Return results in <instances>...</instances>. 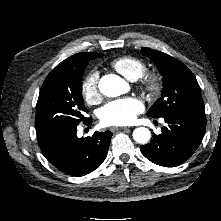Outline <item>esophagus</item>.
<instances>
[{
  "mask_svg": "<svg viewBox=\"0 0 221 221\" xmlns=\"http://www.w3.org/2000/svg\"><path fill=\"white\" fill-rule=\"evenodd\" d=\"M119 130H129V128L128 127H118V126L111 128L112 132H116V131H119Z\"/></svg>",
  "mask_w": 221,
  "mask_h": 221,
  "instance_id": "esophagus-1",
  "label": "esophagus"
}]
</instances>
